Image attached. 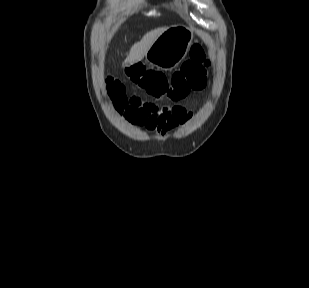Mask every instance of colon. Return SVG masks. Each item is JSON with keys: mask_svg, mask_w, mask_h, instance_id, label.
I'll return each mask as SVG.
<instances>
[{"mask_svg": "<svg viewBox=\"0 0 309 288\" xmlns=\"http://www.w3.org/2000/svg\"><path fill=\"white\" fill-rule=\"evenodd\" d=\"M209 64L205 48L200 44H194L190 49V59L170 78L160 71L144 68L140 63L126 67L125 76L130 82L145 88L153 97L178 101L191 91H199L206 87ZM106 89L118 109L126 113L130 111L125 85L119 77L109 76L106 80Z\"/></svg>", "mask_w": 309, "mask_h": 288, "instance_id": "colon-1", "label": "colon"}]
</instances>
